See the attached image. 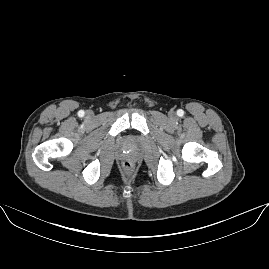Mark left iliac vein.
Returning <instances> with one entry per match:
<instances>
[{
	"mask_svg": "<svg viewBox=\"0 0 269 269\" xmlns=\"http://www.w3.org/2000/svg\"><path fill=\"white\" fill-rule=\"evenodd\" d=\"M175 117V114L174 113H171L170 114V118L173 119Z\"/></svg>",
	"mask_w": 269,
	"mask_h": 269,
	"instance_id": "left-iliac-vein-1",
	"label": "left iliac vein"
}]
</instances>
